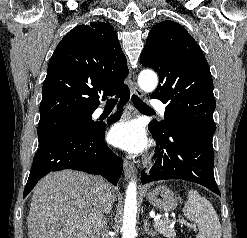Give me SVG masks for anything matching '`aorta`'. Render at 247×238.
I'll use <instances>...</instances> for the list:
<instances>
[{
    "mask_svg": "<svg viewBox=\"0 0 247 238\" xmlns=\"http://www.w3.org/2000/svg\"><path fill=\"white\" fill-rule=\"evenodd\" d=\"M138 84L145 92H152L158 84L157 75L151 70H144L139 74ZM137 193L136 182L131 181L126 191L122 238H135L136 234Z\"/></svg>",
    "mask_w": 247,
    "mask_h": 238,
    "instance_id": "aorta-1",
    "label": "aorta"
}]
</instances>
